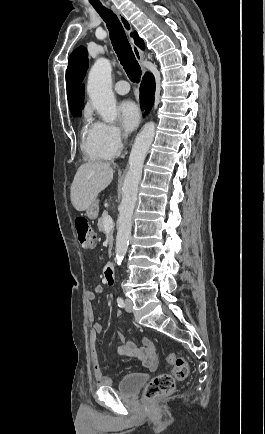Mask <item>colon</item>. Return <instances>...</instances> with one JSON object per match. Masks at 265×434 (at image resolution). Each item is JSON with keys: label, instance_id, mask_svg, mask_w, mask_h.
<instances>
[{"label": "colon", "instance_id": "5ec220e1", "mask_svg": "<svg viewBox=\"0 0 265 434\" xmlns=\"http://www.w3.org/2000/svg\"><path fill=\"white\" fill-rule=\"evenodd\" d=\"M74 225L81 248L86 251L92 249L96 244L97 237L90 221L86 218H77ZM167 362L172 367V374L159 373L153 377L144 390L147 400L153 396L173 392L176 380L187 378L189 366L186 360L171 354L168 356Z\"/></svg>", "mask_w": 265, "mask_h": 434}]
</instances>
